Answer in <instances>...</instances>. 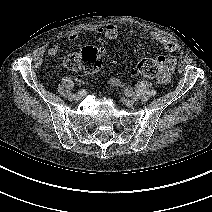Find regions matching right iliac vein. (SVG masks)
<instances>
[{"instance_id": "obj_1", "label": "right iliac vein", "mask_w": 212, "mask_h": 212, "mask_svg": "<svg viewBox=\"0 0 212 212\" xmlns=\"http://www.w3.org/2000/svg\"><path fill=\"white\" fill-rule=\"evenodd\" d=\"M81 98H82V94L81 93H77V94H75V97H74L73 100L79 101V100H81Z\"/></svg>"}]
</instances>
